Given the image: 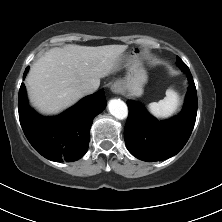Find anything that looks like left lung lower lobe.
Instances as JSON below:
<instances>
[{"instance_id":"1","label":"left lung lower lobe","mask_w":222,"mask_h":222,"mask_svg":"<svg viewBox=\"0 0 222 222\" xmlns=\"http://www.w3.org/2000/svg\"><path fill=\"white\" fill-rule=\"evenodd\" d=\"M189 81L183 111L166 121L152 117L140 104L128 100L129 116L124 129L129 152L143 161H160L176 155L186 144L197 115V92L189 69Z\"/></svg>"}]
</instances>
